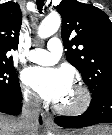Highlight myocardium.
I'll return each mask as SVG.
<instances>
[{
	"mask_svg": "<svg viewBox=\"0 0 112 135\" xmlns=\"http://www.w3.org/2000/svg\"><path fill=\"white\" fill-rule=\"evenodd\" d=\"M74 89L81 95V102L74 107H65L60 104L55 105V109L67 116H78L84 114L91 105L92 98L89 90L80 84L74 86Z\"/></svg>",
	"mask_w": 112,
	"mask_h": 135,
	"instance_id": "f54148a6",
	"label": "myocardium"
}]
</instances>
